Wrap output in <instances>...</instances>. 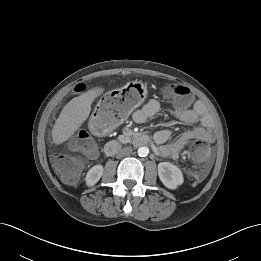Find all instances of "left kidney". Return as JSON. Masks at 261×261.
Returning <instances> with one entry per match:
<instances>
[{
    "mask_svg": "<svg viewBox=\"0 0 261 261\" xmlns=\"http://www.w3.org/2000/svg\"><path fill=\"white\" fill-rule=\"evenodd\" d=\"M158 175L161 182L168 189H176L184 182L180 168L169 162H161L158 164Z\"/></svg>",
    "mask_w": 261,
    "mask_h": 261,
    "instance_id": "left-kidney-1",
    "label": "left kidney"
}]
</instances>
